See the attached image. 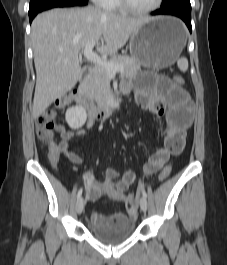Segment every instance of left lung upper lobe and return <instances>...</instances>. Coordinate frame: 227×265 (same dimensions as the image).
<instances>
[{"instance_id": "5c2ea615", "label": "left lung upper lobe", "mask_w": 227, "mask_h": 265, "mask_svg": "<svg viewBox=\"0 0 227 265\" xmlns=\"http://www.w3.org/2000/svg\"><path fill=\"white\" fill-rule=\"evenodd\" d=\"M161 10H191L189 0H163Z\"/></svg>"}]
</instances>
